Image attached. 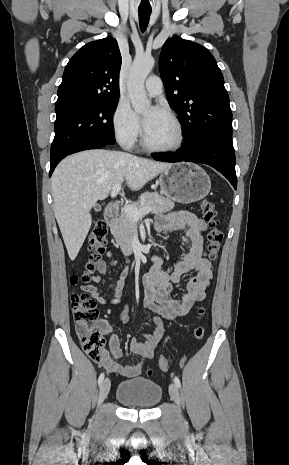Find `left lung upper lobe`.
Here are the masks:
<instances>
[{
    "label": "left lung upper lobe",
    "mask_w": 289,
    "mask_h": 465,
    "mask_svg": "<svg viewBox=\"0 0 289 465\" xmlns=\"http://www.w3.org/2000/svg\"><path fill=\"white\" fill-rule=\"evenodd\" d=\"M159 66L169 105L183 123L184 147L204 138L232 145L229 96L209 50L172 37L161 50Z\"/></svg>",
    "instance_id": "5c2ea615"
}]
</instances>
